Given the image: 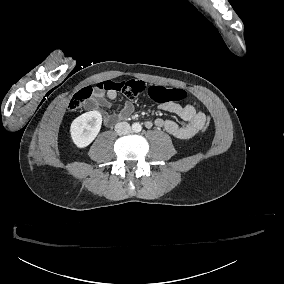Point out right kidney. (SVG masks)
<instances>
[{
  "instance_id": "ca27d5eb",
  "label": "right kidney",
  "mask_w": 284,
  "mask_h": 284,
  "mask_svg": "<svg viewBox=\"0 0 284 284\" xmlns=\"http://www.w3.org/2000/svg\"><path fill=\"white\" fill-rule=\"evenodd\" d=\"M102 116L98 111L86 112L77 117L71 124V137L77 147L88 146L98 135Z\"/></svg>"
}]
</instances>
